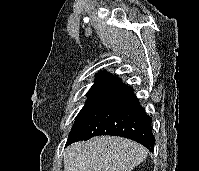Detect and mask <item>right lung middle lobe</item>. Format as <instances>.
<instances>
[{"mask_svg": "<svg viewBox=\"0 0 199 171\" xmlns=\"http://www.w3.org/2000/svg\"><path fill=\"white\" fill-rule=\"evenodd\" d=\"M114 77L111 76H100L97 77L94 85L90 88V90L87 93L88 99L84 105V107L102 90L104 89L112 80ZM83 107V108H84Z\"/></svg>", "mask_w": 199, "mask_h": 171, "instance_id": "1", "label": "right lung middle lobe"}]
</instances>
